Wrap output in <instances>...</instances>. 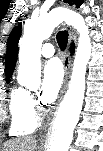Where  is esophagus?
Returning a JSON list of instances; mask_svg holds the SVG:
<instances>
[{
    "label": "esophagus",
    "instance_id": "obj_1",
    "mask_svg": "<svg viewBox=\"0 0 103 151\" xmlns=\"http://www.w3.org/2000/svg\"><path fill=\"white\" fill-rule=\"evenodd\" d=\"M69 37L70 41H72L75 38V32L71 27H68ZM63 65H64V80L61 87L59 99L57 102V106L62 101L63 95L67 90L68 86V80L70 76V69H71V57H70V48L68 47L65 51L64 57H63ZM50 119L48 120L47 124L43 127L42 131L40 132L38 136L39 141H44L47 135L48 127H49Z\"/></svg>",
    "mask_w": 103,
    "mask_h": 151
}]
</instances>
